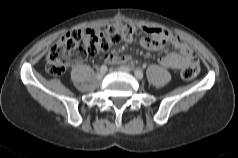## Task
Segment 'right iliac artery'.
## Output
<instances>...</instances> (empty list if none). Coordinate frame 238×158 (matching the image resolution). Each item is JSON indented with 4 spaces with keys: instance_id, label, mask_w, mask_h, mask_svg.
Wrapping results in <instances>:
<instances>
[{
    "instance_id": "82829eb1",
    "label": "right iliac artery",
    "mask_w": 238,
    "mask_h": 158,
    "mask_svg": "<svg viewBox=\"0 0 238 158\" xmlns=\"http://www.w3.org/2000/svg\"><path fill=\"white\" fill-rule=\"evenodd\" d=\"M106 71H107V66L106 65H102L100 67V72L105 73Z\"/></svg>"
}]
</instances>
